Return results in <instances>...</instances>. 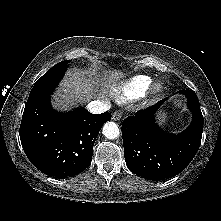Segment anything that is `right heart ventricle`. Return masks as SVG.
Wrapping results in <instances>:
<instances>
[{
	"label": "right heart ventricle",
	"mask_w": 221,
	"mask_h": 221,
	"mask_svg": "<svg viewBox=\"0 0 221 221\" xmlns=\"http://www.w3.org/2000/svg\"><path fill=\"white\" fill-rule=\"evenodd\" d=\"M151 84V76L135 75L118 88V98L121 102L133 100L143 95L150 88Z\"/></svg>",
	"instance_id": "obj_1"
}]
</instances>
